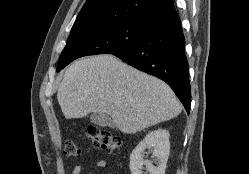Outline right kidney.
<instances>
[{
  "label": "right kidney",
  "mask_w": 249,
  "mask_h": 174,
  "mask_svg": "<svg viewBox=\"0 0 249 174\" xmlns=\"http://www.w3.org/2000/svg\"><path fill=\"white\" fill-rule=\"evenodd\" d=\"M170 134L166 130L152 131L139 143L130 156L131 174H142L143 165L149 174H165L166 164L170 153ZM146 149L153 151V158H157V166L152 161H145L143 154Z\"/></svg>",
  "instance_id": "ca27d5eb"
}]
</instances>
